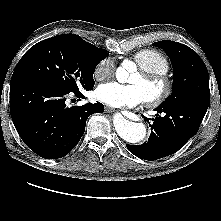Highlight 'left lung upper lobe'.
I'll return each mask as SVG.
<instances>
[{
  "mask_svg": "<svg viewBox=\"0 0 221 221\" xmlns=\"http://www.w3.org/2000/svg\"><path fill=\"white\" fill-rule=\"evenodd\" d=\"M169 56L173 70V91L161 105L190 102L210 96L207 68L188 46L169 40L155 42Z\"/></svg>",
  "mask_w": 221,
  "mask_h": 221,
  "instance_id": "obj_1",
  "label": "left lung upper lobe"
}]
</instances>
